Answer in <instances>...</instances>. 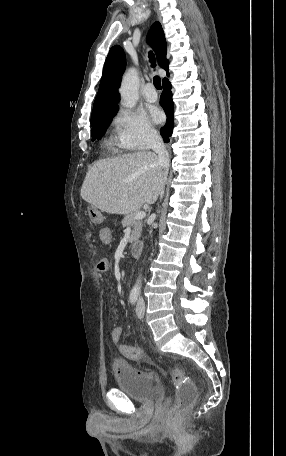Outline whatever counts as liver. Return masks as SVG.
Masks as SVG:
<instances>
[{
  "label": "liver",
  "instance_id": "1",
  "mask_svg": "<svg viewBox=\"0 0 286 456\" xmlns=\"http://www.w3.org/2000/svg\"><path fill=\"white\" fill-rule=\"evenodd\" d=\"M166 176L155 153L125 154L96 161L80 194L101 211L125 215L138 211L144 203L154 204Z\"/></svg>",
  "mask_w": 286,
  "mask_h": 456
}]
</instances>
